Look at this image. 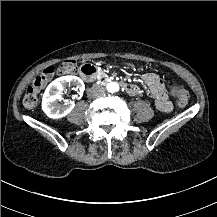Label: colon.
<instances>
[{
  "mask_svg": "<svg viewBox=\"0 0 217 217\" xmlns=\"http://www.w3.org/2000/svg\"><path fill=\"white\" fill-rule=\"evenodd\" d=\"M58 69L60 73L64 75H72L76 73L78 66L76 62L72 60H64L60 62ZM56 72L54 68L47 66L41 70V72L35 75L33 81L27 87V90L23 97V105L28 109H33L36 107L38 102V94L42 88L54 79ZM171 93L177 98V104L179 106H185L189 101L188 90L179 83H172L170 85Z\"/></svg>",
  "mask_w": 217,
  "mask_h": 217,
  "instance_id": "1",
  "label": "colon"
}]
</instances>
